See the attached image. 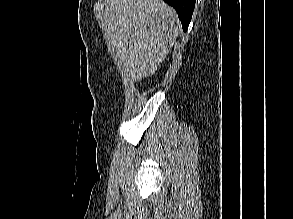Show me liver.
<instances>
[{"instance_id":"1","label":"liver","mask_w":293,"mask_h":219,"mask_svg":"<svg viewBox=\"0 0 293 219\" xmlns=\"http://www.w3.org/2000/svg\"><path fill=\"white\" fill-rule=\"evenodd\" d=\"M104 30L119 69L133 80L153 75L181 24L163 0H106Z\"/></svg>"}]
</instances>
